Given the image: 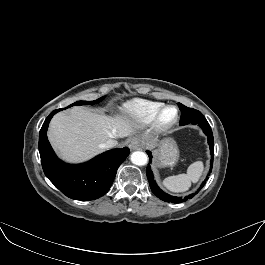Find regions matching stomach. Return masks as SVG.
<instances>
[{"mask_svg": "<svg viewBox=\"0 0 265 265\" xmlns=\"http://www.w3.org/2000/svg\"><path fill=\"white\" fill-rule=\"evenodd\" d=\"M145 143L148 147H157V149L154 150V155L158 167L173 166L177 163L179 150L173 139L167 138L157 144L150 139H145Z\"/></svg>", "mask_w": 265, "mask_h": 265, "instance_id": "stomach-1", "label": "stomach"}]
</instances>
